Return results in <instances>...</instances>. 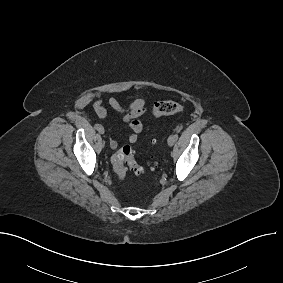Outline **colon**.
Returning <instances> with one entry per match:
<instances>
[{
    "instance_id": "5ec220e1",
    "label": "colon",
    "mask_w": 283,
    "mask_h": 283,
    "mask_svg": "<svg viewBox=\"0 0 283 283\" xmlns=\"http://www.w3.org/2000/svg\"><path fill=\"white\" fill-rule=\"evenodd\" d=\"M183 111V106L175 101H161L156 103L152 109L154 117L168 116L179 114ZM112 169L119 180H124L127 170H132L135 174H142L146 168L138 164L133 149L126 145L121 147L111 158ZM153 166H150L152 169Z\"/></svg>"
}]
</instances>
